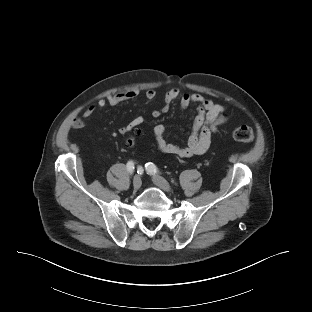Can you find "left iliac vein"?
<instances>
[{"mask_svg":"<svg viewBox=\"0 0 312 312\" xmlns=\"http://www.w3.org/2000/svg\"><path fill=\"white\" fill-rule=\"evenodd\" d=\"M152 180L154 184L160 187L162 190L166 192L172 191L169 183L163 177L156 175V176H153Z\"/></svg>","mask_w":312,"mask_h":312,"instance_id":"1","label":"left iliac vein"}]
</instances>
